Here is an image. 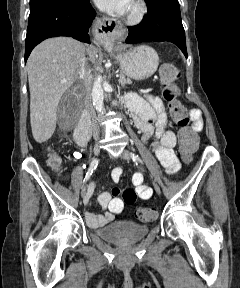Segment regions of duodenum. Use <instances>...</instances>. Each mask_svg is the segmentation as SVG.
Masks as SVG:
<instances>
[{
	"label": "duodenum",
	"mask_w": 240,
	"mask_h": 288,
	"mask_svg": "<svg viewBox=\"0 0 240 288\" xmlns=\"http://www.w3.org/2000/svg\"><path fill=\"white\" fill-rule=\"evenodd\" d=\"M90 124L87 111H84L80 117L79 123L74 132V138L78 145L84 146L90 137Z\"/></svg>",
	"instance_id": "410a0bca"
}]
</instances>
